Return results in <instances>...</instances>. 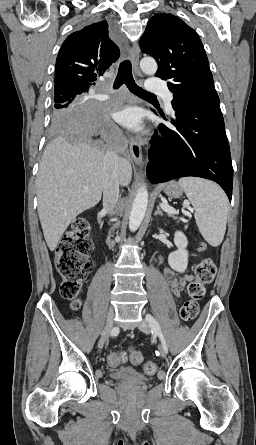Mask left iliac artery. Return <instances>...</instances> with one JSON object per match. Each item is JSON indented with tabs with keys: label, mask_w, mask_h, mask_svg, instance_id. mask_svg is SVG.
<instances>
[{
	"label": "left iliac artery",
	"mask_w": 256,
	"mask_h": 445,
	"mask_svg": "<svg viewBox=\"0 0 256 445\" xmlns=\"http://www.w3.org/2000/svg\"><path fill=\"white\" fill-rule=\"evenodd\" d=\"M146 320L149 323V325L152 329V332H154L159 337L163 350L166 353H168V347H167V344H166L165 338L163 336V333L161 331L159 323L156 321V319L151 314L146 315Z\"/></svg>",
	"instance_id": "obj_1"
}]
</instances>
